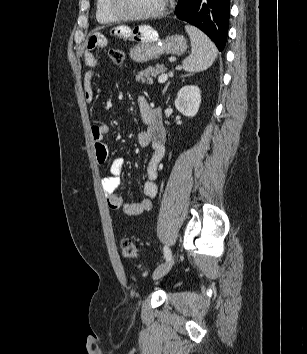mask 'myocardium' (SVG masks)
I'll return each instance as SVG.
<instances>
[{"instance_id":"myocardium-1","label":"myocardium","mask_w":307,"mask_h":354,"mask_svg":"<svg viewBox=\"0 0 307 354\" xmlns=\"http://www.w3.org/2000/svg\"><path fill=\"white\" fill-rule=\"evenodd\" d=\"M169 0H162L160 6L151 12L141 13V14H129L123 12L118 5V0H107L108 8L111 14L118 20L126 21H139V20H150L155 19L163 15L165 12Z\"/></svg>"}]
</instances>
